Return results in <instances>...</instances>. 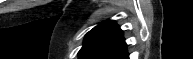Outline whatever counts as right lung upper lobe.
<instances>
[{
  "label": "right lung upper lobe",
  "instance_id": "right-lung-upper-lobe-1",
  "mask_svg": "<svg viewBox=\"0 0 193 59\" xmlns=\"http://www.w3.org/2000/svg\"><path fill=\"white\" fill-rule=\"evenodd\" d=\"M122 30L105 21L87 33L79 59H128Z\"/></svg>",
  "mask_w": 193,
  "mask_h": 59
}]
</instances>
